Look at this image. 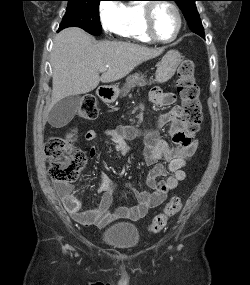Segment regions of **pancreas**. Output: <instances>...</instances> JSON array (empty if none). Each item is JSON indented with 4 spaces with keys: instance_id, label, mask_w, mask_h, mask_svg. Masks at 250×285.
<instances>
[{
    "instance_id": "obj_1",
    "label": "pancreas",
    "mask_w": 250,
    "mask_h": 285,
    "mask_svg": "<svg viewBox=\"0 0 250 285\" xmlns=\"http://www.w3.org/2000/svg\"><path fill=\"white\" fill-rule=\"evenodd\" d=\"M151 81H147L145 79V75L142 73H134L132 75H129L126 78V83L121 89V97H125L131 89H133L136 86H146V85H151Z\"/></svg>"
}]
</instances>
